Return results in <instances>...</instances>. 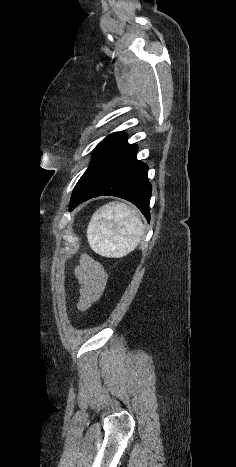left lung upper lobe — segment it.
I'll list each match as a JSON object with an SVG mask.
<instances>
[{
	"mask_svg": "<svg viewBox=\"0 0 236 467\" xmlns=\"http://www.w3.org/2000/svg\"><path fill=\"white\" fill-rule=\"evenodd\" d=\"M123 135L122 132H116L111 135H109L107 138H105L103 141H101L97 147L96 151L94 153L92 162L88 169L85 171V173L82 175V177L79 179L78 183L76 184L73 194L80 188V186L86 181L88 176L91 174L103 154L107 151V149L119 138ZM72 194V195H73Z\"/></svg>",
	"mask_w": 236,
	"mask_h": 467,
	"instance_id": "5c2ea615",
	"label": "left lung upper lobe"
}]
</instances>
